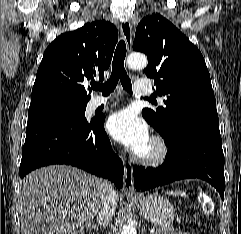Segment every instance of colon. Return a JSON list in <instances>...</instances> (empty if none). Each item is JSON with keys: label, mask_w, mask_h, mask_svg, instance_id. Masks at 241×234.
<instances>
[{"label": "colon", "mask_w": 241, "mask_h": 234, "mask_svg": "<svg viewBox=\"0 0 241 234\" xmlns=\"http://www.w3.org/2000/svg\"><path fill=\"white\" fill-rule=\"evenodd\" d=\"M206 207L209 208V203H206Z\"/></svg>", "instance_id": "obj_1"}]
</instances>
